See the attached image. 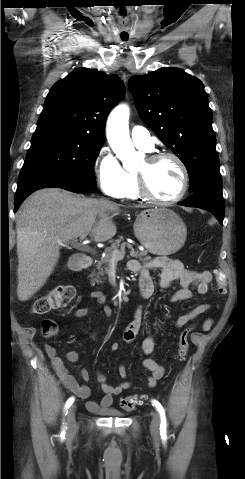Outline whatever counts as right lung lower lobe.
Here are the masks:
<instances>
[{
  "instance_id": "right-lung-lower-lobe-1",
  "label": "right lung lower lobe",
  "mask_w": 245,
  "mask_h": 479,
  "mask_svg": "<svg viewBox=\"0 0 245 479\" xmlns=\"http://www.w3.org/2000/svg\"><path fill=\"white\" fill-rule=\"evenodd\" d=\"M46 187H56L74 193H82L90 191L94 186L55 174H43L25 178L21 181H18L17 191L15 194L14 212L18 210L21 203L31 193Z\"/></svg>"
}]
</instances>
